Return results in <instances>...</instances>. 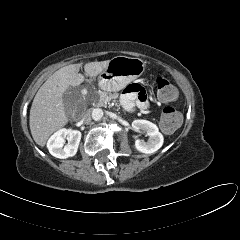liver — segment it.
<instances>
[{
	"label": "liver",
	"instance_id": "1",
	"mask_svg": "<svg viewBox=\"0 0 240 240\" xmlns=\"http://www.w3.org/2000/svg\"><path fill=\"white\" fill-rule=\"evenodd\" d=\"M110 60L90 62L84 65L86 76L100 74ZM81 64H71L53 73L36 93L31 109L29 125L36 144L44 147L49 136L68 122L63 95L69 86L76 87L84 81L79 74Z\"/></svg>",
	"mask_w": 240,
	"mask_h": 240
}]
</instances>
